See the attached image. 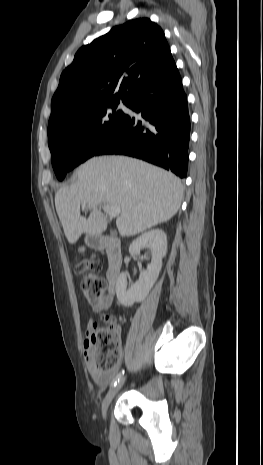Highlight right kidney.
<instances>
[{
	"mask_svg": "<svg viewBox=\"0 0 263 465\" xmlns=\"http://www.w3.org/2000/svg\"><path fill=\"white\" fill-rule=\"evenodd\" d=\"M148 245L152 254L151 263L141 272L139 280L127 288V274L122 272L118 277L116 295L119 303L125 307L143 301L155 284L167 251V236L164 231L153 229L143 233L131 243L129 252L131 255H138Z\"/></svg>",
	"mask_w": 263,
	"mask_h": 465,
	"instance_id": "1",
	"label": "right kidney"
}]
</instances>
